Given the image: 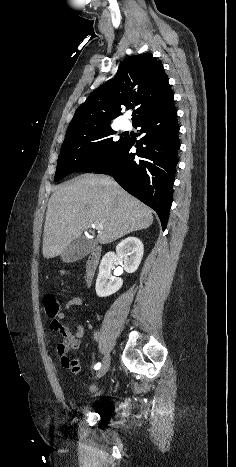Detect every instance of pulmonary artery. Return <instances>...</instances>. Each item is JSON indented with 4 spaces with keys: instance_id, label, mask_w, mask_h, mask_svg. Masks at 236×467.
Listing matches in <instances>:
<instances>
[{
    "instance_id": "1",
    "label": "pulmonary artery",
    "mask_w": 236,
    "mask_h": 467,
    "mask_svg": "<svg viewBox=\"0 0 236 467\" xmlns=\"http://www.w3.org/2000/svg\"><path fill=\"white\" fill-rule=\"evenodd\" d=\"M120 126L123 130H127L129 127H130V121L127 120V119H123L121 122H120Z\"/></svg>"
}]
</instances>
